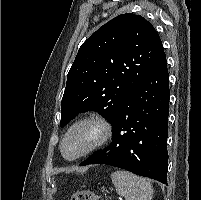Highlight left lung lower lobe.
Masks as SVG:
<instances>
[{"instance_id": "1", "label": "left lung lower lobe", "mask_w": 201, "mask_h": 200, "mask_svg": "<svg viewBox=\"0 0 201 200\" xmlns=\"http://www.w3.org/2000/svg\"><path fill=\"white\" fill-rule=\"evenodd\" d=\"M169 98L164 54L117 110L112 143L79 165L107 164L166 183Z\"/></svg>"}]
</instances>
